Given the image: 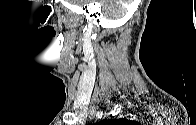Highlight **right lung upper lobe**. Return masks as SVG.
Returning <instances> with one entry per match:
<instances>
[{"mask_svg":"<svg viewBox=\"0 0 196 125\" xmlns=\"http://www.w3.org/2000/svg\"><path fill=\"white\" fill-rule=\"evenodd\" d=\"M106 122V121H104ZM110 122H124V123H128L127 120H122V119H111Z\"/></svg>","mask_w":196,"mask_h":125,"instance_id":"1","label":"right lung upper lobe"}]
</instances>
